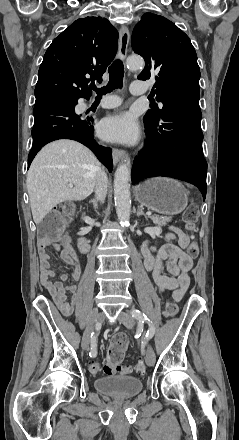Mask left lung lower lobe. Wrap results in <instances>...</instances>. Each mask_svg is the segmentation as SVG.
Instances as JSON below:
<instances>
[{
	"mask_svg": "<svg viewBox=\"0 0 239 440\" xmlns=\"http://www.w3.org/2000/svg\"><path fill=\"white\" fill-rule=\"evenodd\" d=\"M199 104L182 102L162 112L161 119L146 122V148L134 160L131 179L168 176L190 182L206 197L207 162Z\"/></svg>",
	"mask_w": 239,
	"mask_h": 440,
	"instance_id": "obj_1",
	"label": "left lung lower lobe"
}]
</instances>
